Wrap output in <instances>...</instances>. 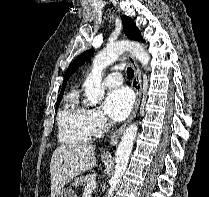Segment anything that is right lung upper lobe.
I'll use <instances>...</instances> for the list:
<instances>
[{
	"label": "right lung upper lobe",
	"mask_w": 209,
	"mask_h": 197,
	"mask_svg": "<svg viewBox=\"0 0 209 197\" xmlns=\"http://www.w3.org/2000/svg\"><path fill=\"white\" fill-rule=\"evenodd\" d=\"M65 86H66V84L63 85L58 99H62L63 94H64V90H65Z\"/></svg>",
	"instance_id": "right-lung-upper-lobe-1"
}]
</instances>
